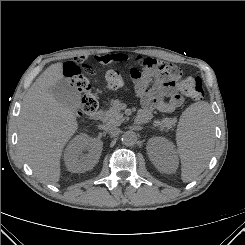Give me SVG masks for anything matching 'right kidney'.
I'll return each instance as SVG.
<instances>
[{"label":"right kidney","mask_w":245,"mask_h":245,"mask_svg":"<svg viewBox=\"0 0 245 245\" xmlns=\"http://www.w3.org/2000/svg\"><path fill=\"white\" fill-rule=\"evenodd\" d=\"M102 147L103 142L98 138H90L84 133L77 135L65 149L64 161L67 169L73 173L92 169L100 158Z\"/></svg>","instance_id":"1"}]
</instances>
